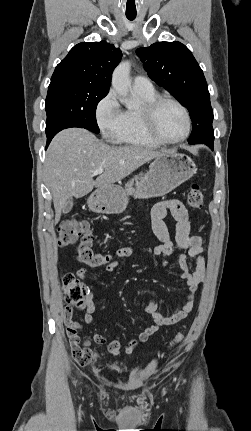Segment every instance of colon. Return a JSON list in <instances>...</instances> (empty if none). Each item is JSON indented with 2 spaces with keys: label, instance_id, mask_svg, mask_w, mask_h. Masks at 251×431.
Returning a JSON list of instances; mask_svg holds the SVG:
<instances>
[{
  "label": "colon",
  "instance_id": "1",
  "mask_svg": "<svg viewBox=\"0 0 251 431\" xmlns=\"http://www.w3.org/2000/svg\"><path fill=\"white\" fill-rule=\"evenodd\" d=\"M203 194L198 185L191 186L186 204L191 209H199L203 205ZM94 236L87 221L69 218L61 222L58 228V244L67 247L76 244V257L79 262L90 267H101L109 263L110 257L93 249ZM63 296L68 304L67 308H81L87 294L85 285L79 281L74 274L64 273L62 275ZM184 338V333L179 332L170 342L169 348L178 346ZM95 364H101V355L94 352Z\"/></svg>",
  "mask_w": 251,
  "mask_h": 431
}]
</instances>
